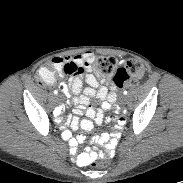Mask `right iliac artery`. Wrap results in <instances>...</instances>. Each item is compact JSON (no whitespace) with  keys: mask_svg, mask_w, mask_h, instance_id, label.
Instances as JSON below:
<instances>
[{"mask_svg":"<svg viewBox=\"0 0 183 183\" xmlns=\"http://www.w3.org/2000/svg\"><path fill=\"white\" fill-rule=\"evenodd\" d=\"M54 94H58V91L55 90V91H54ZM58 112H59V109L56 108L55 111H54V115L56 116Z\"/></svg>","mask_w":183,"mask_h":183,"instance_id":"82829eb1","label":"right iliac artery"}]
</instances>
